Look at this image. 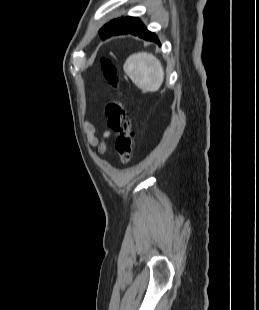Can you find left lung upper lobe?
<instances>
[{
	"instance_id": "5c2ea615",
	"label": "left lung upper lobe",
	"mask_w": 259,
	"mask_h": 310,
	"mask_svg": "<svg viewBox=\"0 0 259 310\" xmlns=\"http://www.w3.org/2000/svg\"><path fill=\"white\" fill-rule=\"evenodd\" d=\"M122 19L123 17L114 19L110 21L109 23H107L105 26H103L99 31V33L102 35V38L106 37L109 33H111L117 27V25L121 22Z\"/></svg>"
}]
</instances>
